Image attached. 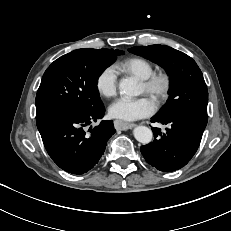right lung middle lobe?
<instances>
[{
  "instance_id": "1",
  "label": "right lung middle lobe",
  "mask_w": 231,
  "mask_h": 231,
  "mask_svg": "<svg viewBox=\"0 0 231 231\" xmlns=\"http://www.w3.org/2000/svg\"><path fill=\"white\" fill-rule=\"evenodd\" d=\"M121 54L84 48L55 60L37 91L36 119L59 112L86 114L102 107L98 78Z\"/></svg>"
}]
</instances>
